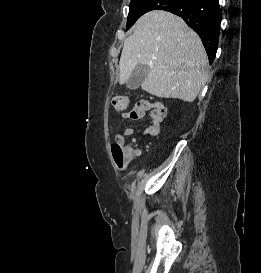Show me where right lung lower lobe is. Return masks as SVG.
<instances>
[{"mask_svg": "<svg viewBox=\"0 0 261 273\" xmlns=\"http://www.w3.org/2000/svg\"><path fill=\"white\" fill-rule=\"evenodd\" d=\"M159 6L183 18L200 36L212 63L218 48L221 22L219 0H164Z\"/></svg>", "mask_w": 261, "mask_h": 273, "instance_id": "obj_1", "label": "right lung lower lobe"}]
</instances>
